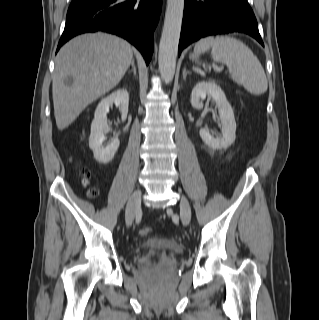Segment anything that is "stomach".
Segmentation results:
<instances>
[{"instance_id":"1","label":"stomach","mask_w":319,"mask_h":320,"mask_svg":"<svg viewBox=\"0 0 319 320\" xmlns=\"http://www.w3.org/2000/svg\"><path fill=\"white\" fill-rule=\"evenodd\" d=\"M197 57H198V55H197V54H192V55L190 56V58H191L192 60H196V59H197Z\"/></svg>"}]
</instances>
